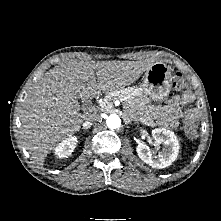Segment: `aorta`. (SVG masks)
Returning a JSON list of instances; mask_svg holds the SVG:
<instances>
[{
	"mask_svg": "<svg viewBox=\"0 0 221 221\" xmlns=\"http://www.w3.org/2000/svg\"><path fill=\"white\" fill-rule=\"evenodd\" d=\"M106 125L110 129H116L121 126V119L116 114H111L106 118Z\"/></svg>",
	"mask_w": 221,
	"mask_h": 221,
	"instance_id": "aorta-1",
	"label": "aorta"
}]
</instances>
